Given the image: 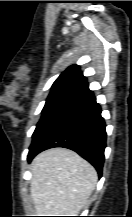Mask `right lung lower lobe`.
I'll use <instances>...</instances> for the list:
<instances>
[{"instance_id": "98d812e1", "label": "right lung lower lobe", "mask_w": 132, "mask_h": 217, "mask_svg": "<svg viewBox=\"0 0 132 217\" xmlns=\"http://www.w3.org/2000/svg\"><path fill=\"white\" fill-rule=\"evenodd\" d=\"M105 122L93 93L63 108L30 146L28 161L43 150L64 147L77 152L102 174L106 147Z\"/></svg>"}]
</instances>
